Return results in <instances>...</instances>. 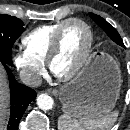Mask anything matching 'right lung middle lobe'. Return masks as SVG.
<instances>
[{"label": "right lung middle lobe", "mask_w": 130, "mask_h": 130, "mask_svg": "<svg viewBox=\"0 0 130 130\" xmlns=\"http://www.w3.org/2000/svg\"><path fill=\"white\" fill-rule=\"evenodd\" d=\"M23 25V22L14 16L0 14V61L9 66H12V46L23 33Z\"/></svg>", "instance_id": "right-lung-middle-lobe-1"}]
</instances>
